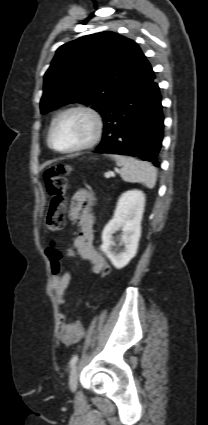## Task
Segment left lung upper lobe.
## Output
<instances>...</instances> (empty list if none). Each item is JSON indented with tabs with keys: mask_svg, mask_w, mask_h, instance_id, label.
I'll use <instances>...</instances> for the list:
<instances>
[{
	"mask_svg": "<svg viewBox=\"0 0 208 425\" xmlns=\"http://www.w3.org/2000/svg\"><path fill=\"white\" fill-rule=\"evenodd\" d=\"M145 60L133 40L111 31L60 46L44 76L41 113L79 102L102 115Z\"/></svg>",
	"mask_w": 208,
	"mask_h": 425,
	"instance_id": "1",
	"label": "left lung upper lobe"
}]
</instances>
